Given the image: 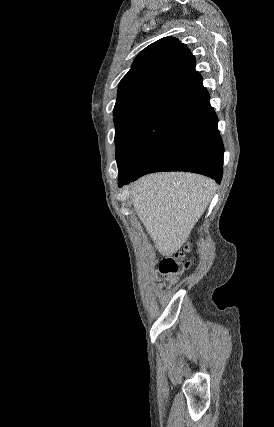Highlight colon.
<instances>
[{"label": "colon", "mask_w": 274, "mask_h": 427, "mask_svg": "<svg viewBox=\"0 0 274 427\" xmlns=\"http://www.w3.org/2000/svg\"><path fill=\"white\" fill-rule=\"evenodd\" d=\"M190 263L185 262L181 264L177 261L176 258L172 256L163 257L160 264L158 265V270L160 275L165 278V285L167 287L171 286V276H175L178 273L182 272L184 269H189Z\"/></svg>", "instance_id": "obj_1"}]
</instances>
